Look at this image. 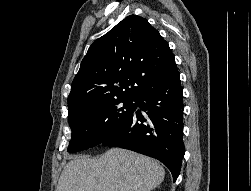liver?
Returning <instances> with one entry per match:
<instances>
[{
  "instance_id": "1",
  "label": "liver",
  "mask_w": 251,
  "mask_h": 191,
  "mask_svg": "<svg viewBox=\"0 0 251 191\" xmlns=\"http://www.w3.org/2000/svg\"><path fill=\"white\" fill-rule=\"evenodd\" d=\"M164 167L152 157L112 147L98 159L77 155L66 163L56 191H151Z\"/></svg>"
}]
</instances>
